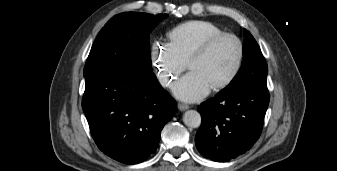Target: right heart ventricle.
I'll return each mask as SVG.
<instances>
[{
  "instance_id": "1",
  "label": "right heart ventricle",
  "mask_w": 337,
  "mask_h": 171,
  "mask_svg": "<svg viewBox=\"0 0 337 171\" xmlns=\"http://www.w3.org/2000/svg\"><path fill=\"white\" fill-rule=\"evenodd\" d=\"M216 24L206 20H190L173 28L167 34L166 45L187 63L195 49L205 40L222 33Z\"/></svg>"
}]
</instances>
